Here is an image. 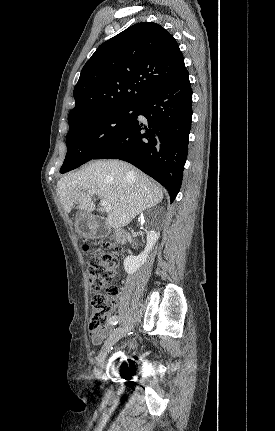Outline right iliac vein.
Segmentation results:
<instances>
[{"label":"right iliac vein","mask_w":275,"mask_h":431,"mask_svg":"<svg viewBox=\"0 0 275 431\" xmlns=\"http://www.w3.org/2000/svg\"><path fill=\"white\" fill-rule=\"evenodd\" d=\"M129 331L128 328H118L116 331L112 332V334L109 336V338L105 341L104 346L102 347V350L98 356L97 359V368H96V375H100L102 372V367L105 361V358L107 354L109 353L112 346L123 336L126 335V333Z\"/></svg>","instance_id":"obj_1"}]
</instances>
